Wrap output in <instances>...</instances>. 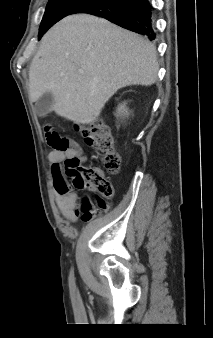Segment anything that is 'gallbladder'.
Instances as JSON below:
<instances>
[{
	"label": "gallbladder",
	"instance_id": "1",
	"mask_svg": "<svg viewBox=\"0 0 213 338\" xmlns=\"http://www.w3.org/2000/svg\"><path fill=\"white\" fill-rule=\"evenodd\" d=\"M54 103V97L50 92L44 93L35 103V109L39 116H45Z\"/></svg>",
	"mask_w": 213,
	"mask_h": 338
}]
</instances>
